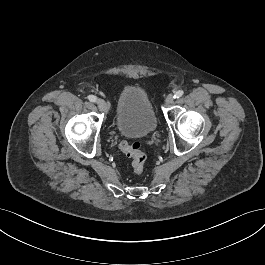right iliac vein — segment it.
<instances>
[{
    "mask_svg": "<svg viewBox=\"0 0 265 265\" xmlns=\"http://www.w3.org/2000/svg\"><path fill=\"white\" fill-rule=\"evenodd\" d=\"M97 107L101 110L106 112L107 111V104L103 99H97L96 100Z\"/></svg>",
    "mask_w": 265,
    "mask_h": 265,
    "instance_id": "right-iliac-vein-1",
    "label": "right iliac vein"
}]
</instances>
